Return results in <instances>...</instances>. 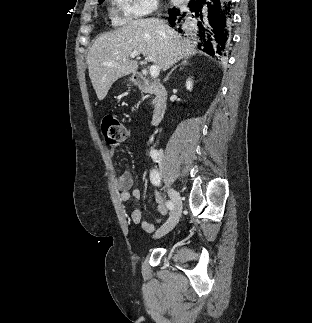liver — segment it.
Returning a JSON list of instances; mask_svg holds the SVG:
<instances>
[{
    "label": "liver",
    "instance_id": "1",
    "mask_svg": "<svg viewBox=\"0 0 312 323\" xmlns=\"http://www.w3.org/2000/svg\"><path fill=\"white\" fill-rule=\"evenodd\" d=\"M132 52H143L146 60L163 72L179 60L197 54L190 40L157 18L133 20L110 34H101L87 56L89 76L98 100H104L116 80L138 70V62L130 58Z\"/></svg>",
    "mask_w": 312,
    "mask_h": 323
}]
</instances>
